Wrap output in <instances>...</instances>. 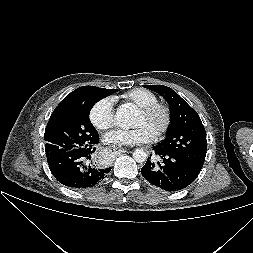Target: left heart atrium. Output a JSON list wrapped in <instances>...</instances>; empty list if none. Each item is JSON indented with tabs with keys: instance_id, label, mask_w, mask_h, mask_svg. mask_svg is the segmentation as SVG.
<instances>
[{
	"instance_id": "39dd6f15",
	"label": "left heart atrium",
	"mask_w": 253,
	"mask_h": 253,
	"mask_svg": "<svg viewBox=\"0 0 253 253\" xmlns=\"http://www.w3.org/2000/svg\"><path fill=\"white\" fill-rule=\"evenodd\" d=\"M155 134L145 125L136 126L133 129H116L105 135L104 140L108 144L133 146L151 142Z\"/></svg>"
}]
</instances>
